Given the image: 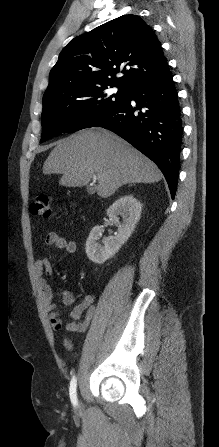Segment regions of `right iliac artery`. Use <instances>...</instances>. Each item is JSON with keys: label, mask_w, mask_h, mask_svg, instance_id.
<instances>
[{"label": "right iliac artery", "mask_w": 219, "mask_h": 447, "mask_svg": "<svg viewBox=\"0 0 219 447\" xmlns=\"http://www.w3.org/2000/svg\"><path fill=\"white\" fill-rule=\"evenodd\" d=\"M76 388H77V379L75 376H73L70 382L69 394L71 402L73 403L74 406L77 405Z\"/></svg>", "instance_id": "82829eb1"}]
</instances>
